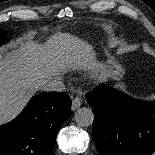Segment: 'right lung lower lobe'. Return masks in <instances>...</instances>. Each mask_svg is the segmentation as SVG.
I'll return each mask as SVG.
<instances>
[{
  "instance_id": "98d812e1",
  "label": "right lung lower lobe",
  "mask_w": 155,
  "mask_h": 155,
  "mask_svg": "<svg viewBox=\"0 0 155 155\" xmlns=\"http://www.w3.org/2000/svg\"><path fill=\"white\" fill-rule=\"evenodd\" d=\"M65 92L33 97L12 122L0 126V155H51L57 132L71 115Z\"/></svg>"
}]
</instances>
